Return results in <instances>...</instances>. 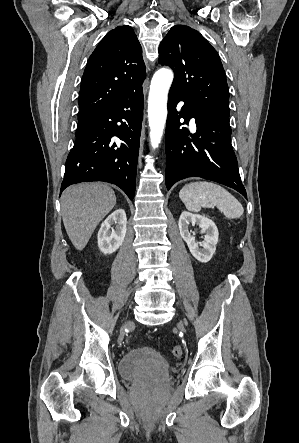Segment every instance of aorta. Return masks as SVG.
Instances as JSON below:
<instances>
[{
	"label": "aorta",
	"mask_w": 299,
	"mask_h": 443,
	"mask_svg": "<svg viewBox=\"0 0 299 443\" xmlns=\"http://www.w3.org/2000/svg\"><path fill=\"white\" fill-rule=\"evenodd\" d=\"M170 69H159L153 76L148 97V120L150 141L153 149L158 148L167 118V96L173 81Z\"/></svg>",
	"instance_id": "obj_1"
}]
</instances>
